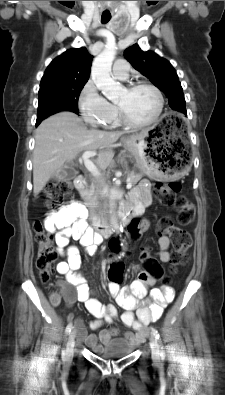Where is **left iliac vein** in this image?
<instances>
[{"label":"left iliac vein","instance_id":"1","mask_svg":"<svg viewBox=\"0 0 225 395\" xmlns=\"http://www.w3.org/2000/svg\"><path fill=\"white\" fill-rule=\"evenodd\" d=\"M150 347L152 350V356L153 359L156 361L160 360V350H159V345L157 343V340L153 335L150 336Z\"/></svg>","mask_w":225,"mask_h":395}]
</instances>
